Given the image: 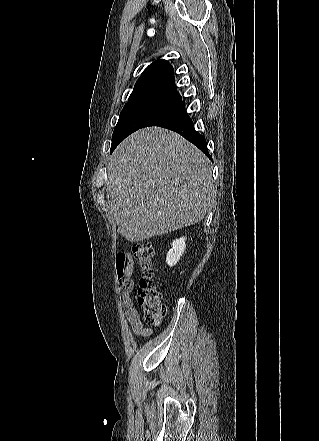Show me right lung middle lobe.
Wrapping results in <instances>:
<instances>
[{
  "label": "right lung middle lobe",
  "instance_id": "right-lung-middle-lobe-1",
  "mask_svg": "<svg viewBox=\"0 0 319 441\" xmlns=\"http://www.w3.org/2000/svg\"><path fill=\"white\" fill-rule=\"evenodd\" d=\"M175 104L158 99L128 100L124 106L112 135L110 152L134 131L146 127L154 118Z\"/></svg>",
  "mask_w": 319,
  "mask_h": 441
}]
</instances>
